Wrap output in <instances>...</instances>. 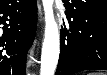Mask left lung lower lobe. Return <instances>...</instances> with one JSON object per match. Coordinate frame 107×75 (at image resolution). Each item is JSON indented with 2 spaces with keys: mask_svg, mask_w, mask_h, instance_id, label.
Wrapping results in <instances>:
<instances>
[{
  "mask_svg": "<svg viewBox=\"0 0 107 75\" xmlns=\"http://www.w3.org/2000/svg\"><path fill=\"white\" fill-rule=\"evenodd\" d=\"M102 0H63L67 22L61 29V53L55 75H72L83 70H107V6L81 11V5ZM81 18L85 35L73 33V14ZM77 37V38H76Z\"/></svg>",
  "mask_w": 107,
  "mask_h": 75,
  "instance_id": "1",
  "label": "left lung lower lobe"
}]
</instances>
